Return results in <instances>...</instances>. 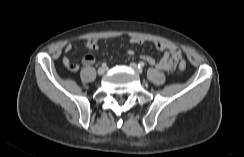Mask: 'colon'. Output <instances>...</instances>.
Segmentation results:
<instances>
[{"label": "colon", "instance_id": "obj_1", "mask_svg": "<svg viewBox=\"0 0 244 157\" xmlns=\"http://www.w3.org/2000/svg\"><path fill=\"white\" fill-rule=\"evenodd\" d=\"M178 67H179L180 70H184L186 68V62L185 61H181L179 63V66Z\"/></svg>", "mask_w": 244, "mask_h": 157}]
</instances>
